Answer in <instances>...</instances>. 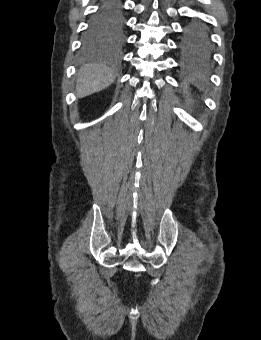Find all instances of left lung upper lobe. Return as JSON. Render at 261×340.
Wrapping results in <instances>:
<instances>
[{
  "label": "left lung upper lobe",
  "mask_w": 261,
  "mask_h": 340,
  "mask_svg": "<svg viewBox=\"0 0 261 340\" xmlns=\"http://www.w3.org/2000/svg\"><path fill=\"white\" fill-rule=\"evenodd\" d=\"M184 48L188 51L209 54L211 51V41L206 27L199 21L191 23L184 40Z\"/></svg>",
  "instance_id": "left-lung-upper-lobe-1"
}]
</instances>
